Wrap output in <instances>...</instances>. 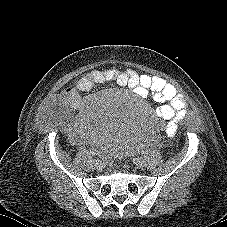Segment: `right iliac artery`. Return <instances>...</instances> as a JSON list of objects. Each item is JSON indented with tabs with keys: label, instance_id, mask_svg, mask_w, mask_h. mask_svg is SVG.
<instances>
[{
	"label": "right iliac artery",
	"instance_id": "1",
	"mask_svg": "<svg viewBox=\"0 0 227 227\" xmlns=\"http://www.w3.org/2000/svg\"><path fill=\"white\" fill-rule=\"evenodd\" d=\"M91 153H92V155H97L98 154V151L93 150V151H91Z\"/></svg>",
	"mask_w": 227,
	"mask_h": 227
}]
</instances>
